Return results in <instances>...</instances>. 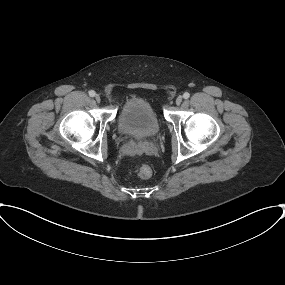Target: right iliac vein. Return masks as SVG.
<instances>
[{"label":"right iliac vein","mask_w":285,"mask_h":285,"mask_svg":"<svg viewBox=\"0 0 285 285\" xmlns=\"http://www.w3.org/2000/svg\"><path fill=\"white\" fill-rule=\"evenodd\" d=\"M95 100H96L98 103L101 101V98H100V96H99L98 94H96Z\"/></svg>","instance_id":"1"}]
</instances>
